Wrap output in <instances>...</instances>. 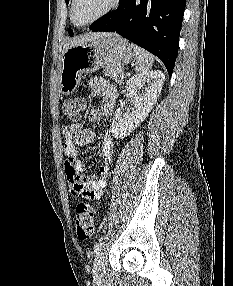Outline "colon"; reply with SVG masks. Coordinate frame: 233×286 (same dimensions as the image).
Returning a JSON list of instances; mask_svg holds the SVG:
<instances>
[{
    "instance_id": "obj_1",
    "label": "colon",
    "mask_w": 233,
    "mask_h": 286,
    "mask_svg": "<svg viewBox=\"0 0 233 286\" xmlns=\"http://www.w3.org/2000/svg\"><path fill=\"white\" fill-rule=\"evenodd\" d=\"M85 106V98L75 96L65 100L62 110L69 120L78 122L81 119ZM95 216L96 210L89 203H80L77 205L75 226L77 236L80 240L85 241L93 237Z\"/></svg>"
}]
</instances>
